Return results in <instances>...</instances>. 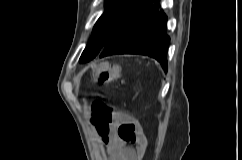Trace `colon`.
I'll return each instance as SVG.
<instances>
[{"label": "colon", "instance_id": "colon-1", "mask_svg": "<svg viewBox=\"0 0 242 160\" xmlns=\"http://www.w3.org/2000/svg\"><path fill=\"white\" fill-rule=\"evenodd\" d=\"M92 75L98 83L108 84L121 77V70L118 65L108 62H100L92 66ZM93 122L99 132H103L113 119L111 110L101 101L92 103ZM135 127L132 124L122 127V136L124 139L133 140Z\"/></svg>", "mask_w": 242, "mask_h": 160}]
</instances>
